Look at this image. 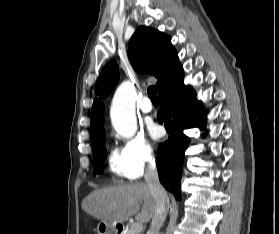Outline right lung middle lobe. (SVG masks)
Listing matches in <instances>:
<instances>
[{
  "instance_id": "1",
  "label": "right lung middle lobe",
  "mask_w": 279,
  "mask_h": 234,
  "mask_svg": "<svg viewBox=\"0 0 279 234\" xmlns=\"http://www.w3.org/2000/svg\"><path fill=\"white\" fill-rule=\"evenodd\" d=\"M105 143V136L97 140L92 144L93 154H94V175L102 171L100 167L103 165V161L106 157V150L103 144Z\"/></svg>"
}]
</instances>
